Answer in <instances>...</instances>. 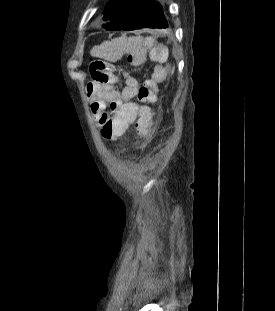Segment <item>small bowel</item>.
Segmentation results:
<instances>
[{"instance_id": "small-bowel-1", "label": "small bowel", "mask_w": 275, "mask_h": 311, "mask_svg": "<svg viewBox=\"0 0 275 311\" xmlns=\"http://www.w3.org/2000/svg\"><path fill=\"white\" fill-rule=\"evenodd\" d=\"M102 58L128 57L132 67H147V57L154 64V73L151 80L157 85L164 81L167 75V67L172 61V56L167 46L158 45L153 37L127 38L122 36L112 41L104 42L96 53ZM124 86L118 87L119 77L111 75L107 81L91 82L86 87V93L90 101L92 115L102 126L101 119L129 118L130 126L137 139L146 142L147 139H155L156 122L152 117L150 102L133 100L138 97V83L128 73L122 71ZM126 130H120L121 134Z\"/></svg>"}]
</instances>
